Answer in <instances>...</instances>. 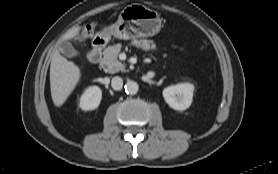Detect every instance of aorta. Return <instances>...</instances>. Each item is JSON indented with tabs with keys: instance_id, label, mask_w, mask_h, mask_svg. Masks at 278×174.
Instances as JSON below:
<instances>
[{
	"instance_id": "1",
	"label": "aorta",
	"mask_w": 278,
	"mask_h": 174,
	"mask_svg": "<svg viewBox=\"0 0 278 174\" xmlns=\"http://www.w3.org/2000/svg\"><path fill=\"white\" fill-rule=\"evenodd\" d=\"M138 90H139V85L135 81H128L125 85V91L130 95L136 94Z\"/></svg>"
}]
</instances>
